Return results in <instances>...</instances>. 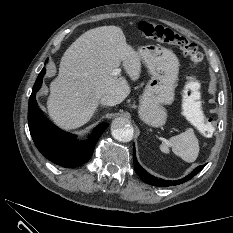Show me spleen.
I'll list each match as a JSON object with an SVG mask.
<instances>
[{
	"mask_svg": "<svg viewBox=\"0 0 233 233\" xmlns=\"http://www.w3.org/2000/svg\"><path fill=\"white\" fill-rule=\"evenodd\" d=\"M169 148L184 161L188 163L194 162L198 157L199 142L193 129L187 128L185 132L171 137L167 142L160 145V150L163 153H169Z\"/></svg>",
	"mask_w": 233,
	"mask_h": 233,
	"instance_id": "obj_1",
	"label": "spleen"
}]
</instances>
